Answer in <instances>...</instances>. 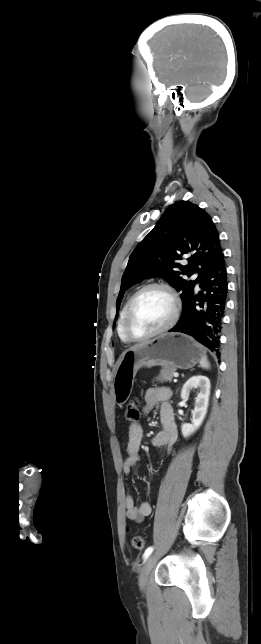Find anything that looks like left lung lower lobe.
<instances>
[{"label":"left lung lower lobe","instance_id":"left-lung-lower-lobe-1","mask_svg":"<svg viewBox=\"0 0 261 644\" xmlns=\"http://www.w3.org/2000/svg\"><path fill=\"white\" fill-rule=\"evenodd\" d=\"M200 282L203 291L194 292L178 324L170 331L192 336L219 357L220 330L228 293L223 252L210 263Z\"/></svg>","mask_w":261,"mask_h":644}]
</instances>
